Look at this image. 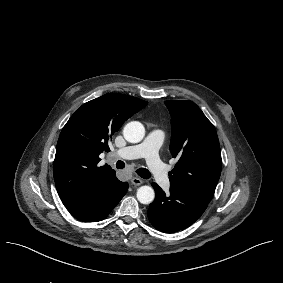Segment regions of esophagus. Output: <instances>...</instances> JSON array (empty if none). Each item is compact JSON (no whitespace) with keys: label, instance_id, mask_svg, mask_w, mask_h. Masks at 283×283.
<instances>
[{"label":"esophagus","instance_id":"1","mask_svg":"<svg viewBox=\"0 0 283 283\" xmlns=\"http://www.w3.org/2000/svg\"><path fill=\"white\" fill-rule=\"evenodd\" d=\"M131 183L135 186H139V185L143 184V180H141L140 178H137V177H133L131 179Z\"/></svg>","mask_w":283,"mask_h":283}]
</instances>
